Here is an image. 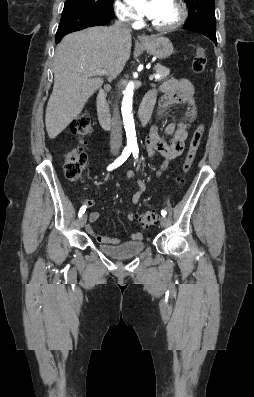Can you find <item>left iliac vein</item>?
Wrapping results in <instances>:
<instances>
[{
    "label": "left iliac vein",
    "mask_w": 254,
    "mask_h": 397,
    "mask_svg": "<svg viewBox=\"0 0 254 397\" xmlns=\"http://www.w3.org/2000/svg\"><path fill=\"white\" fill-rule=\"evenodd\" d=\"M160 225L162 226V227H165L166 225H167V219H166V217H161V219H160Z\"/></svg>",
    "instance_id": "1"
}]
</instances>
